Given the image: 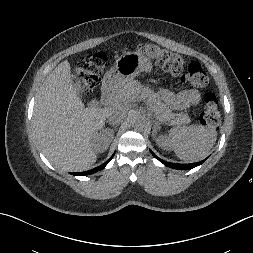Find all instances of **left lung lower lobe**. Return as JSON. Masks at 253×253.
<instances>
[{
	"mask_svg": "<svg viewBox=\"0 0 253 253\" xmlns=\"http://www.w3.org/2000/svg\"><path fill=\"white\" fill-rule=\"evenodd\" d=\"M151 153L153 154V156L155 158H157L160 162H162L164 165L168 166V167H171V168H174V169H192L194 167H197L199 165H201L206 159L200 161V162H197V163H191V164H176V163H170V162H166L160 158H158L152 151Z\"/></svg>",
	"mask_w": 253,
	"mask_h": 253,
	"instance_id": "1",
	"label": "left lung lower lobe"
}]
</instances>
